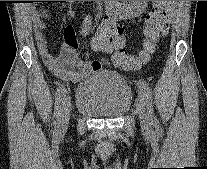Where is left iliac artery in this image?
<instances>
[{
    "mask_svg": "<svg viewBox=\"0 0 207 169\" xmlns=\"http://www.w3.org/2000/svg\"><path fill=\"white\" fill-rule=\"evenodd\" d=\"M138 86H139L140 93L143 95L147 105L149 120L153 123L155 122V117H154L153 106H152V91L149 85L143 80L138 82Z\"/></svg>",
    "mask_w": 207,
    "mask_h": 169,
    "instance_id": "1",
    "label": "left iliac artery"
}]
</instances>
